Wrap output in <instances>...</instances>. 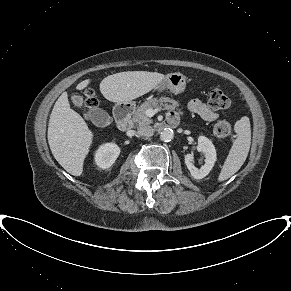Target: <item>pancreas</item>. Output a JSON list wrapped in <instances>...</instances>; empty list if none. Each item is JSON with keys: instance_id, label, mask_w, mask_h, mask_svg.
I'll list each match as a JSON object with an SVG mask.
<instances>
[{"instance_id": "1", "label": "pancreas", "mask_w": 291, "mask_h": 291, "mask_svg": "<svg viewBox=\"0 0 291 291\" xmlns=\"http://www.w3.org/2000/svg\"><path fill=\"white\" fill-rule=\"evenodd\" d=\"M170 104V105H169ZM166 107L169 106L176 108L177 102L174 99L168 97H160V98H153L150 99L143 104H141L134 112L132 117V122L138 126L149 125L152 123V120L146 116V111L148 109H155L158 107ZM178 109V108H177ZM179 114L182 115V112L178 109Z\"/></svg>"}]
</instances>
